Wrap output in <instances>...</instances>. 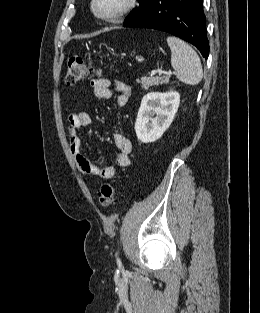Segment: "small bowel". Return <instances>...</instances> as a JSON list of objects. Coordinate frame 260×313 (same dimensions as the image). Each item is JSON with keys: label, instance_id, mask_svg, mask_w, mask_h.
I'll list each match as a JSON object with an SVG mask.
<instances>
[{"label": "small bowel", "instance_id": "small-bowel-1", "mask_svg": "<svg viewBox=\"0 0 260 313\" xmlns=\"http://www.w3.org/2000/svg\"><path fill=\"white\" fill-rule=\"evenodd\" d=\"M93 93L101 99H110L116 93L117 105L123 107L130 98L129 88L120 81H111L107 78H96L91 81ZM68 133L70 152L74 158L78 171L86 177H98L110 179L116 176L120 168L130 165V153L132 151L131 141L123 133L113 135V144L117 150L115 164L112 166H98L81 151V138L79 130L91 125L92 119L88 112L81 110L68 115Z\"/></svg>", "mask_w": 260, "mask_h": 313}]
</instances>
